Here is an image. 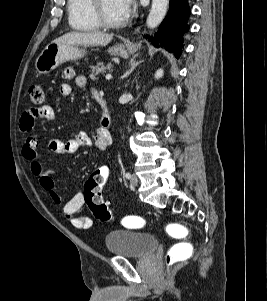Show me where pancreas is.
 Segmentation results:
<instances>
[{"instance_id": "obj_1", "label": "pancreas", "mask_w": 267, "mask_h": 301, "mask_svg": "<svg viewBox=\"0 0 267 301\" xmlns=\"http://www.w3.org/2000/svg\"><path fill=\"white\" fill-rule=\"evenodd\" d=\"M112 67H111V64H104L103 62H100L98 63L97 65L95 66H91L90 67V78L92 80H95L98 76V74H104L107 70H111Z\"/></svg>"}]
</instances>
